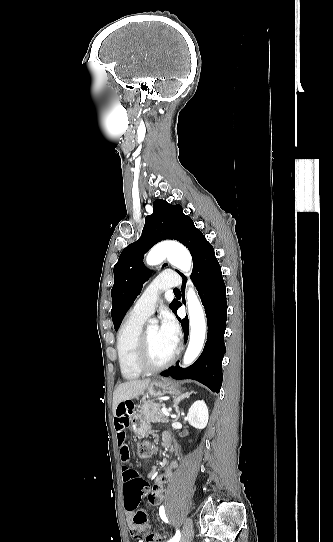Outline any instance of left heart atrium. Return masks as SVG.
Wrapping results in <instances>:
<instances>
[{
	"instance_id": "left-heart-atrium-1",
	"label": "left heart atrium",
	"mask_w": 333,
	"mask_h": 542,
	"mask_svg": "<svg viewBox=\"0 0 333 542\" xmlns=\"http://www.w3.org/2000/svg\"><path fill=\"white\" fill-rule=\"evenodd\" d=\"M160 330L162 334L176 347L180 341V328L175 317L168 311L162 315Z\"/></svg>"
}]
</instances>
